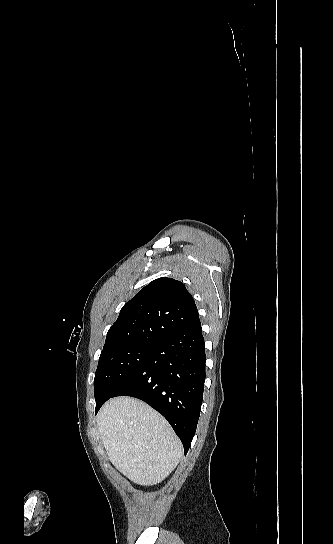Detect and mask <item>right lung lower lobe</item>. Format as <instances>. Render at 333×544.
<instances>
[{
  "label": "right lung lower lobe",
  "mask_w": 333,
  "mask_h": 544,
  "mask_svg": "<svg viewBox=\"0 0 333 544\" xmlns=\"http://www.w3.org/2000/svg\"><path fill=\"white\" fill-rule=\"evenodd\" d=\"M205 362L199 323L153 343L145 364L113 397H136L156 409L181 439L186 454L200 416Z\"/></svg>",
  "instance_id": "98d812e1"
}]
</instances>
